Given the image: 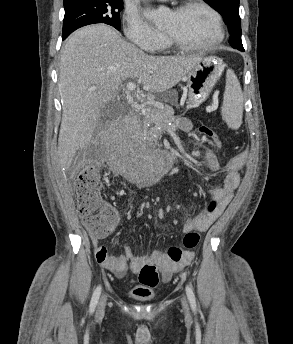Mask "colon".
<instances>
[{"mask_svg":"<svg viewBox=\"0 0 293 344\" xmlns=\"http://www.w3.org/2000/svg\"><path fill=\"white\" fill-rule=\"evenodd\" d=\"M199 131L205 139L219 145V139L212 129L201 127ZM101 188L100 175L94 166L85 167L74 183L78 214L93 238H102L108 235L115 227L118 218L116 210L99 197ZM215 209L216 202L210 203L209 212H213ZM199 240L198 232L193 230L187 232L181 245H173L168 248V259L173 262L180 261L185 252L192 251L198 246ZM139 281L146 288L156 287L159 283V270L154 265H145L140 270Z\"/></svg>","mask_w":293,"mask_h":344,"instance_id":"1","label":"colon"}]
</instances>
